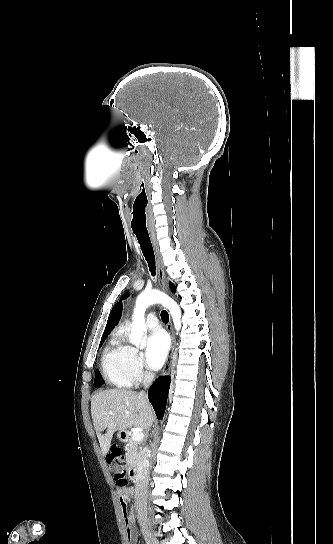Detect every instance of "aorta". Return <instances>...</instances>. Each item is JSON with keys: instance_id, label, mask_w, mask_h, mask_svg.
<instances>
[{"instance_id": "obj_1", "label": "aorta", "mask_w": 333, "mask_h": 544, "mask_svg": "<svg viewBox=\"0 0 333 544\" xmlns=\"http://www.w3.org/2000/svg\"><path fill=\"white\" fill-rule=\"evenodd\" d=\"M160 303L167 309H169L170 314L173 319L175 329L180 330L181 327V310L178 304L171 299L165 293H162L158 290L145 291L138 295L135 303V308L133 312V323L131 326V332L129 336V341L131 344L139 347L142 345L144 333L146 331L145 325V311L148 306Z\"/></svg>"}]
</instances>
